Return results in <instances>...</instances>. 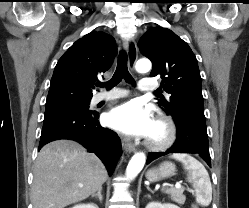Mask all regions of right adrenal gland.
I'll return each instance as SVG.
<instances>
[{
	"label": "right adrenal gland",
	"mask_w": 249,
	"mask_h": 208,
	"mask_svg": "<svg viewBox=\"0 0 249 208\" xmlns=\"http://www.w3.org/2000/svg\"><path fill=\"white\" fill-rule=\"evenodd\" d=\"M91 197H96L99 199L100 202L103 201V195H102V187L99 188V190L97 191V193H94L91 195Z\"/></svg>",
	"instance_id": "2a0ac1e0"
}]
</instances>
